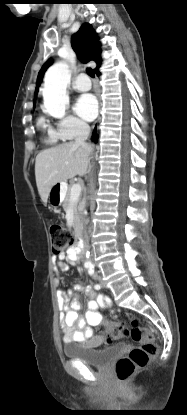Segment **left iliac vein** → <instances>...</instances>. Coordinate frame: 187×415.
<instances>
[{
  "instance_id": "4c4485c4",
  "label": "left iliac vein",
  "mask_w": 187,
  "mask_h": 415,
  "mask_svg": "<svg viewBox=\"0 0 187 415\" xmlns=\"http://www.w3.org/2000/svg\"><path fill=\"white\" fill-rule=\"evenodd\" d=\"M98 281H99V283H100L101 287H102V288H105V284H104V282H103V280H102V277H101V276H98Z\"/></svg>"
}]
</instances>
